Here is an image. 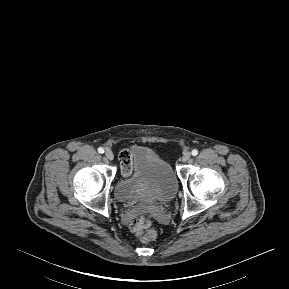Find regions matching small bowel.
<instances>
[{"label":"small bowel","instance_id":"small-bowel-1","mask_svg":"<svg viewBox=\"0 0 289 289\" xmlns=\"http://www.w3.org/2000/svg\"><path fill=\"white\" fill-rule=\"evenodd\" d=\"M121 171L124 176H129L132 173V151L130 149H124L120 153ZM130 229L136 235L141 234L142 226L138 222V217L135 216L129 219Z\"/></svg>","mask_w":289,"mask_h":289}]
</instances>
